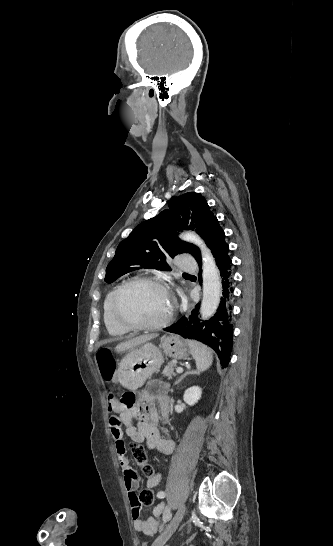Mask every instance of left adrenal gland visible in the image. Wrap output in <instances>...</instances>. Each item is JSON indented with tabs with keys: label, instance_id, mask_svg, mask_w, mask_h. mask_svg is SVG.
Segmentation results:
<instances>
[{
	"label": "left adrenal gland",
	"instance_id": "obj_1",
	"mask_svg": "<svg viewBox=\"0 0 333 546\" xmlns=\"http://www.w3.org/2000/svg\"><path fill=\"white\" fill-rule=\"evenodd\" d=\"M195 373H196L195 371L186 372L185 374H183V375L175 382V385L179 384L187 375H189V374H195Z\"/></svg>",
	"mask_w": 333,
	"mask_h": 546
}]
</instances>
